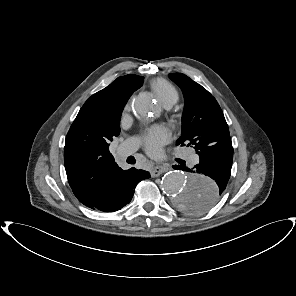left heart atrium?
I'll return each mask as SVG.
<instances>
[{
    "mask_svg": "<svg viewBox=\"0 0 296 296\" xmlns=\"http://www.w3.org/2000/svg\"><path fill=\"white\" fill-rule=\"evenodd\" d=\"M170 139V131L164 125H154L147 128L142 136L146 151L155 154L159 148L166 144Z\"/></svg>",
    "mask_w": 296,
    "mask_h": 296,
    "instance_id": "39dd6f15",
    "label": "left heart atrium"
}]
</instances>
